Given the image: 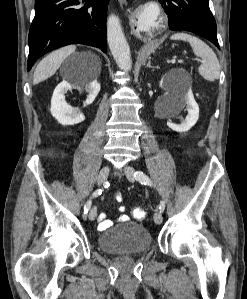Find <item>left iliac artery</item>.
Masks as SVG:
<instances>
[{
    "label": "left iliac artery",
    "instance_id": "44dca946",
    "mask_svg": "<svg viewBox=\"0 0 247 299\" xmlns=\"http://www.w3.org/2000/svg\"><path fill=\"white\" fill-rule=\"evenodd\" d=\"M134 177L136 178L137 181H139L141 184H144V185H149V186H153V183L152 181L150 180V178L145 174L143 173L142 171H137L134 173ZM164 209H165V202L164 201H161L160 204H159V210L160 212H164Z\"/></svg>",
    "mask_w": 247,
    "mask_h": 299
}]
</instances>
